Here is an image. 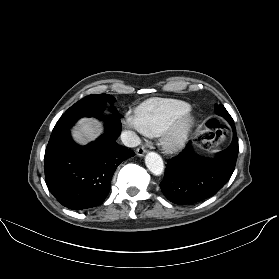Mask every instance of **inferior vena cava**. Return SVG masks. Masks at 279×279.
I'll return each instance as SVG.
<instances>
[{"instance_id": "inferior-vena-cava-1", "label": "inferior vena cava", "mask_w": 279, "mask_h": 279, "mask_svg": "<svg viewBox=\"0 0 279 279\" xmlns=\"http://www.w3.org/2000/svg\"><path fill=\"white\" fill-rule=\"evenodd\" d=\"M121 140L127 147H136L140 145V138L132 131H124L121 134Z\"/></svg>"}]
</instances>
